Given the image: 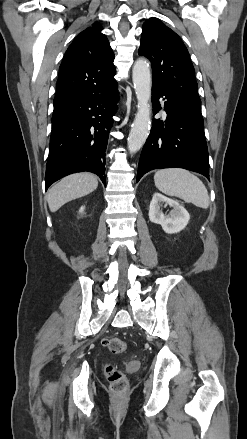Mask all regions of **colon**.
<instances>
[{"mask_svg":"<svg viewBox=\"0 0 247 439\" xmlns=\"http://www.w3.org/2000/svg\"><path fill=\"white\" fill-rule=\"evenodd\" d=\"M104 344L114 354L122 353L127 348L126 342L116 337L106 339ZM104 372L109 382L110 390L115 394L123 393L127 387V378L124 373L111 364L105 366Z\"/></svg>","mask_w":247,"mask_h":439,"instance_id":"obj_1","label":"colon"}]
</instances>
